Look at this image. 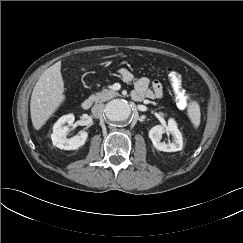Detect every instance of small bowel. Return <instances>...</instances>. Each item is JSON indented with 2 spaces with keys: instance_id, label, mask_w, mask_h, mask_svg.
<instances>
[{
  "instance_id": "obj_1",
  "label": "small bowel",
  "mask_w": 243,
  "mask_h": 243,
  "mask_svg": "<svg viewBox=\"0 0 243 243\" xmlns=\"http://www.w3.org/2000/svg\"><path fill=\"white\" fill-rule=\"evenodd\" d=\"M119 75L125 82L130 83L134 81L133 74L125 68L119 70ZM163 94L164 89L159 81H150L147 77H141L134 82L132 98L136 101H140L145 98H161Z\"/></svg>"
}]
</instances>
